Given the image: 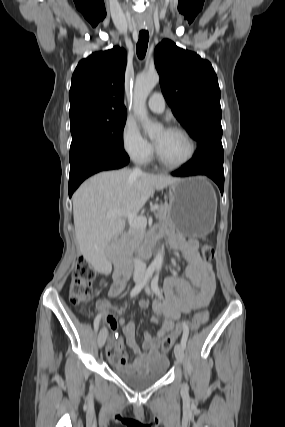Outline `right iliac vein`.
Returning a JSON list of instances; mask_svg holds the SVG:
<instances>
[{
    "mask_svg": "<svg viewBox=\"0 0 285 427\" xmlns=\"http://www.w3.org/2000/svg\"><path fill=\"white\" fill-rule=\"evenodd\" d=\"M139 280H140V278H137L135 281L139 282ZM107 334H108L107 328L104 327L100 330L99 335H98V346H99V348H102L104 346L106 339H107Z\"/></svg>",
    "mask_w": 285,
    "mask_h": 427,
    "instance_id": "1",
    "label": "right iliac vein"
}]
</instances>
